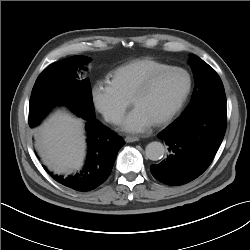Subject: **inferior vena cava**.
Wrapping results in <instances>:
<instances>
[{
	"instance_id": "1",
	"label": "inferior vena cava",
	"mask_w": 250,
	"mask_h": 250,
	"mask_svg": "<svg viewBox=\"0 0 250 250\" xmlns=\"http://www.w3.org/2000/svg\"><path fill=\"white\" fill-rule=\"evenodd\" d=\"M110 120L113 122V123H119L121 121V116L119 114H112L110 116Z\"/></svg>"
}]
</instances>
